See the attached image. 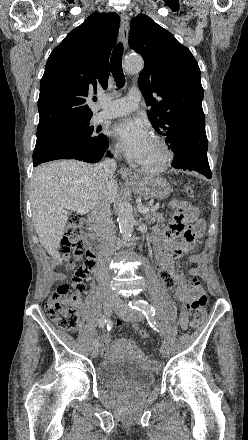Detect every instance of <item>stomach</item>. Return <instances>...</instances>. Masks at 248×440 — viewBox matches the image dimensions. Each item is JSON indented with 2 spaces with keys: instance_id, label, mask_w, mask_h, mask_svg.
<instances>
[{
  "instance_id": "0dacf381",
  "label": "stomach",
  "mask_w": 248,
  "mask_h": 440,
  "mask_svg": "<svg viewBox=\"0 0 248 440\" xmlns=\"http://www.w3.org/2000/svg\"><path fill=\"white\" fill-rule=\"evenodd\" d=\"M131 186L137 194L144 198L166 199L172 192L169 183L161 177L137 176Z\"/></svg>"
}]
</instances>
